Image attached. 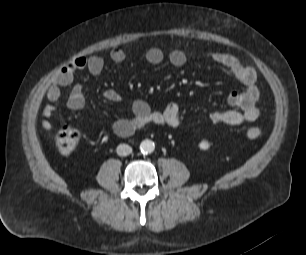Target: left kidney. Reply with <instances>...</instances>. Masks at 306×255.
Segmentation results:
<instances>
[{"label":"left kidney","mask_w":306,"mask_h":255,"mask_svg":"<svg viewBox=\"0 0 306 255\" xmlns=\"http://www.w3.org/2000/svg\"><path fill=\"white\" fill-rule=\"evenodd\" d=\"M199 147H200V149H202V150H208L209 147H210V145H209V143H208L207 141L203 140V141H201V142L199 143Z\"/></svg>","instance_id":"left-kidney-1"}]
</instances>
